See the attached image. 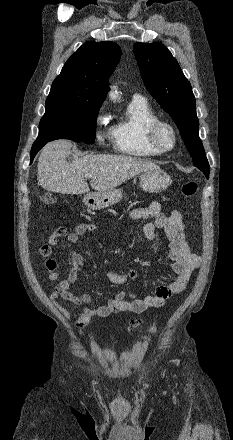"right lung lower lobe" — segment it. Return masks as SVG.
I'll use <instances>...</instances> for the list:
<instances>
[{
  "instance_id": "obj_1",
  "label": "right lung lower lobe",
  "mask_w": 233,
  "mask_h": 440,
  "mask_svg": "<svg viewBox=\"0 0 233 440\" xmlns=\"http://www.w3.org/2000/svg\"><path fill=\"white\" fill-rule=\"evenodd\" d=\"M47 142H38L35 141L32 149H31V154H30V160L31 162L33 161L35 155L37 154V152L46 144Z\"/></svg>"
}]
</instances>
